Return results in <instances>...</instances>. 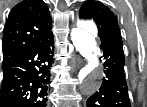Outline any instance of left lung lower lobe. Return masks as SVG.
<instances>
[{"instance_id": "0a47b994", "label": "left lung lower lobe", "mask_w": 147, "mask_h": 107, "mask_svg": "<svg viewBox=\"0 0 147 107\" xmlns=\"http://www.w3.org/2000/svg\"><path fill=\"white\" fill-rule=\"evenodd\" d=\"M106 76L100 89L87 100V107H131L124 73L125 57L121 36L101 41Z\"/></svg>"}]
</instances>
